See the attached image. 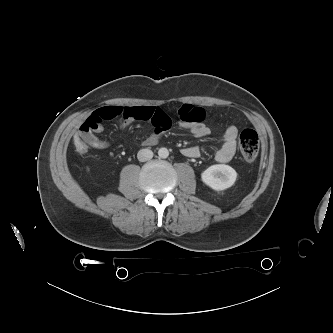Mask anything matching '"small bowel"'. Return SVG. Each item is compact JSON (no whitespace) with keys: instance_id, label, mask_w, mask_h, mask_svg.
<instances>
[{"instance_id":"1","label":"small bowel","mask_w":333,"mask_h":333,"mask_svg":"<svg viewBox=\"0 0 333 333\" xmlns=\"http://www.w3.org/2000/svg\"><path fill=\"white\" fill-rule=\"evenodd\" d=\"M180 127L188 130L197 138L205 137L210 130L204 123L205 112L202 108L184 104L178 110ZM108 120L117 121L122 128L128 126L134 120L149 121L153 125V130L143 143L145 145H155L162 135L168 131L172 125L170 116L159 107H120L108 106L93 112L80 126L77 136L87 141V143L97 149L108 147V143L101 140L96 134L103 129V122ZM238 129L229 126L222 135V145L215 154L216 161L227 163L234 157L237 150ZM182 154L189 158H197L200 149L197 146H188L182 149Z\"/></svg>"}]
</instances>
